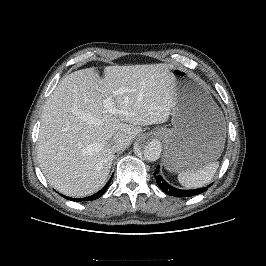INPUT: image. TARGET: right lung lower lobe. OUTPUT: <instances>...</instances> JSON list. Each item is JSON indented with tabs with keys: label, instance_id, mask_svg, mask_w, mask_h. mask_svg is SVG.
<instances>
[{
	"label": "right lung lower lobe",
	"instance_id": "right-lung-lower-lobe-1",
	"mask_svg": "<svg viewBox=\"0 0 266 266\" xmlns=\"http://www.w3.org/2000/svg\"><path fill=\"white\" fill-rule=\"evenodd\" d=\"M110 181H111V179L107 182V184L99 192H97L94 195H91L89 197L79 198V199H77V198H70V197H66V196H63V197H65V198H67L69 200H73V201H90V200H95V199L101 197L105 193V191L107 190V188H108V186L110 184Z\"/></svg>",
	"mask_w": 266,
	"mask_h": 266
}]
</instances>
